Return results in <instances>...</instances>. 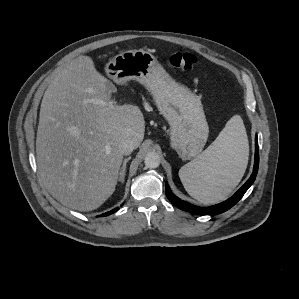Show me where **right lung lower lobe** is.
<instances>
[{
    "label": "right lung lower lobe",
    "mask_w": 299,
    "mask_h": 299,
    "mask_svg": "<svg viewBox=\"0 0 299 299\" xmlns=\"http://www.w3.org/2000/svg\"><path fill=\"white\" fill-rule=\"evenodd\" d=\"M118 209H119V208L117 207V208H115V209H113V210H111V211H109V212H107V213L102 214V216L110 215V214L116 212Z\"/></svg>",
    "instance_id": "right-lung-lower-lobe-1"
}]
</instances>
